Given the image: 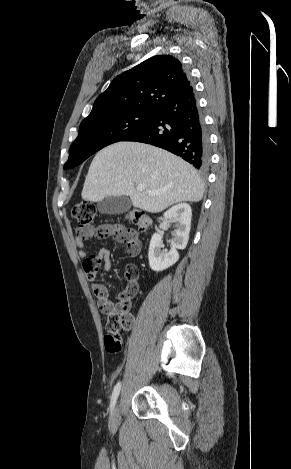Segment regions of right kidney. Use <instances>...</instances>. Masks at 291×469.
<instances>
[{
    "mask_svg": "<svg viewBox=\"0 0 291 469\" xmlns=\"http://www.w3.org/2000/svg\"><path fill=\"white\" fill-rule=\"evenodd\" d=\"M192 211L189 204L181 203L171 207L164 213L166 221L175 222L174 237L171 241V250L162 251L164 247L162 237L154 233L149 246V265L154 271H163L175 264L179 259L178 249H185L191 228Z\"/></svg>",
    "mask_w": 291,
    "mask_h": 469,
    "instance_id": "obj_1",
    "label": "right kidney"
}]
</instances>
